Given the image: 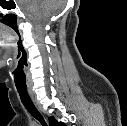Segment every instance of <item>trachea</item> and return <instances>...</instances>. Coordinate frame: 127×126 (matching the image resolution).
I'll return each mask as SVG.
<instances>
[{
	"instance_id": "trachea-1",
	"label": "trachea",
	"mask_w": 127,
	"mask_h": 126,
	"mask_svg": "<svg viewBox=\"0 0 127 126\" xmlns=\"http://www.w3.org/2000/svg\"><path fill=\"white\" fill-rule=\"evenodd\" d=\"M17 91L19 93L20 99L25 106V108L28 110V112L35 118L37 119L42 126H47L46 122L44 121L43 117L41 114L37 111L35 108L33 102L31 101L27 89L26 88H17Z\"/></svg>"
}]
</instances>
